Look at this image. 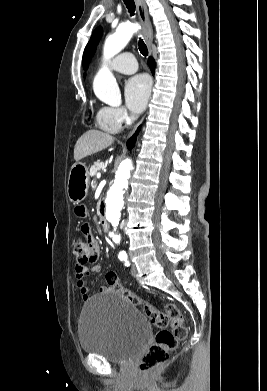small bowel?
I'll use <instances>...</instances> for the list:
<instances>
[{"mask_svg":"<svg viewBox=\"0 0 267 391\" xmlns=\"http://www.w3.org/2000/svg\"><path fill=\"white\" fill-rule=\"evenodd\" d=\"M75 214L80 218H85L87 215V209L84 205H77L75 208ZM82 233L87 237V239H93L92 231L90 226L87 223H83L81 226ZM100 271L98 265L91 266H75V276L77 279V288L84 300L89 298V290L86 286L85 278L88 274H94ZM101 293L107 292L108 288L101 287L99 290Z\"/></svg>","mask_w":267,"mask_h":391,"instance_id":"1","label":"small bowel"}]
</instances>
